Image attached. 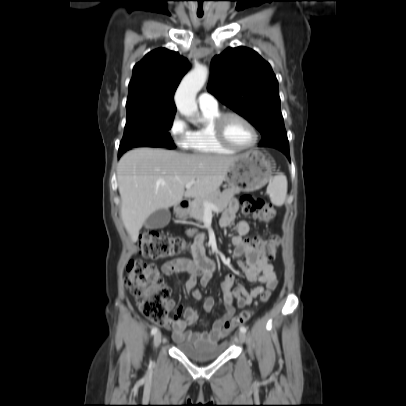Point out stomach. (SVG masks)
I'll use <instances>...</instances> for the list:
<instances>
[{"mask_svg": "<svg viewBox=\"0 0 406 406\" xmlns=\"http://www.w3.org/2000/svg\"><path fill=\"white\" fill-rule=\"evenodd\" d=\"M275 164L263 152L251 150L239 155L238 160L229 169L226 181L231 189L255 191L271 181ZM179 217H186L187 212L177 209Z\"/></svg>", "mask_w": 406, "mask_h": 406, "instance_id": "obj_1", "label": "stomach"}]
</instances>
